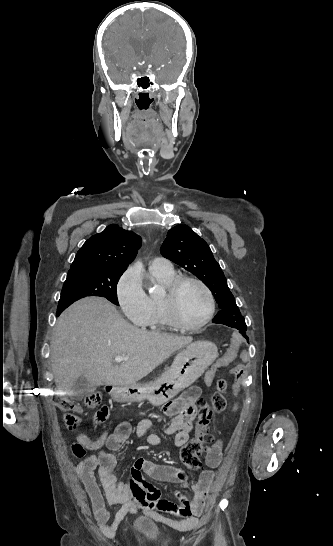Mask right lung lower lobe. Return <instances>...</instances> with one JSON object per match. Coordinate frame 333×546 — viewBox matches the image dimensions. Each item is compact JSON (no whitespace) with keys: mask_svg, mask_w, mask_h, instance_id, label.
Segmentation results:
<instances>
[{"mask_svg":"<svg viewBox=\"0 0 333 546\" xmlns=\"http://www.w3.org/2000/svg\"><path fill=\"white\" fill-rule=\"evenodd\" d=\"M62 311H63V310H57V314H56V315L59 316V315L61 314Z\"/></svg>","mask_w":333,"mask_h":546,"instance_id":"right-lung-lower-lobe-1","label":"right lung lower lobe"}]
</instances>
